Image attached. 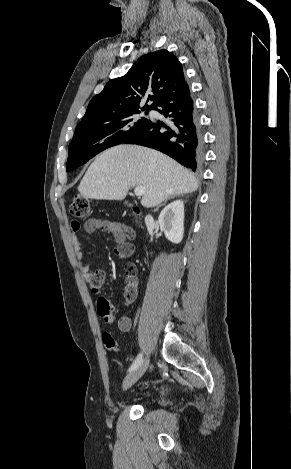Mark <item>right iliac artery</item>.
I'll return each mask as SVG.
<instances>
[{"label":"right iliac artery","instance_id":"82829eb1","mask_svg":"<svg viewBox=\"0 0 291 469\" xmlns=\"http://www.w3.org/2000/svg\"><path fill=\"white\" fill-rule=\"evenodd\" d=\"M141 361H142V354L140 353L135 359V361L133 362V364L131 365V367L129 368V371L136 369L138 365L141 363Z\"/></svg>","mask_w":291,"mask_h":469}]
</instances>
